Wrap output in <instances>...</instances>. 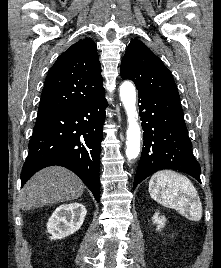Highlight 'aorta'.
Listing matches in <instances>:
<instances>
[{
  "label": "aorta",
  "instance_id": "obj_1",
  "mask_svg": "<svg viewBox=\"0 0 221 268\" xmlns=\"http://www.w3.org/2000/svg\"><path fill=\"white\" fill-rule=\"evenodd\" d=\"M120 98L127 114V141L126 156L128 160L138 157L140 152L141 131L138 124L136 111V90L130 81H125L120 86Z\"/></svg>",
  "mask_w": 221,
  "mask_h": 268
}]
</instances>
